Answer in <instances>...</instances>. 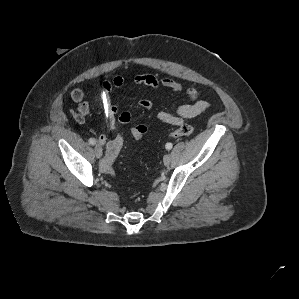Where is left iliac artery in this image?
<instances>
[{
  "label": "left iliac artery",
  "instance_id": "obj_1",
  "mask_svg": "<svg viewBox=\"0 0 299 299\" xmlns=\"http://www.w3.org/2000/svg\"><path fill=\"white\" fill-rule=\"evenodd\" d=\"M172 146H173L172 143H167L165 145V147H166L167 150H170L172 148Z\"/></svg>",
  "mask_w": 299,
  "mask_h": 299
}]
</instances>
